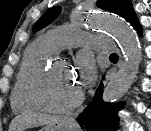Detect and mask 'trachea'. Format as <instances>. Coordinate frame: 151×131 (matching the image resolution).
I'll list each match as a JSON object with an SVG mask.
<instances>
[{"label":"trachea","instance_id":"3493384b","mask_svg":"<svg viewBox=\"0 0 151 131\" xmlns=\"http://www.w3.org/2000/svg\"><path fill=\"white\" fill-rule=\"evenodd\" d=\"M110 57H111V58H118V55H117L116 53H112V54L110 55Z\"/></svg>","mask_w":151,"mask_h":131}]
</instances>
